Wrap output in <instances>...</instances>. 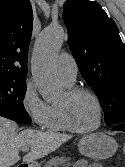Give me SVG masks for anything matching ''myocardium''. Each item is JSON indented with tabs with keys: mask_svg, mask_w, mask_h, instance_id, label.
Segmentation results:
<instances>
[{
	"mask_svg": "<svg viewBox=\"0 0 125 167\" xmlns=\"http://www.w3.org/2000/svg\"><path fill=\"white\" fill-rule=\"evenodd\" d=\"M88 95L89 97H91L98 109V122L95 126L88 128V129H81L78 128L74 122L72 121L71 115H70V110H69V102L78 97L79 95ZM62 120L64 122V124L66 125V127L75 133L78 134H88V133H92L97 131L101 125H102V121H103V107H102V103L99 99V97L90 89L85 88V87H80V86H74V87H70L67 89L66 91V101L62 104H57Z\"/></svg>",
	"mask_w": 125,
	"mask_h": 167,
	"instance_id": "f54148a6",
	"label": "myocardium"
}]
</instances>
